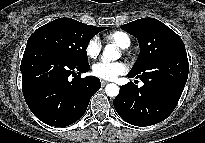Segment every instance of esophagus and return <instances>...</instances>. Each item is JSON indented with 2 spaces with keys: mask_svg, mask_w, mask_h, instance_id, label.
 Here are the masks:
<instances>
[{
  "mask_svg": "<svg viewBox=\"0 0 205 143\" xmlns=\"http://www.w3.org/2000/svg\"><path fill=\"white\" fill-rule=\"evenodd\" d=\"M106 84H108L107 81H105V80H101V85H102V86H105Z\"/></svg>",
  "mask_w": 205,
  "mask_h": 143,
  "instance_id": "1",
  "label": "esophagus"
}]
</instances>
